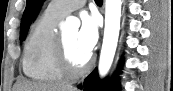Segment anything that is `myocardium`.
<instances>
[{
    "mask_svg": "<svg viewBox=\"0 0 173 91\" xmlns=\"http://www.w3.org/2000/svg\"><path fill=\"white\" fill-rule=\"evenodd\" d=\"M56 63L65 77L77 78L84 75L89 70L92 59L88 57L87 61L83 65L79 67L76 66L70 56L63 34H59L56 48Z\"/></svg>",
    "mask_w": 173,
    "mask_h": 91,
    "instance_id": "myocardium-1",
    "label": "myocardium"
}]
</instances>
